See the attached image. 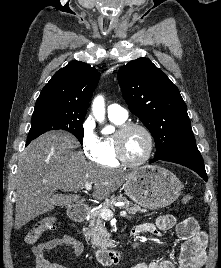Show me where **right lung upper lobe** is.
<instances>
[{
    "mask_svg": "<svg viewBox=\"0 0 221 268\" xmlns=\"http://www.w3.org/2000/svg\"><path fill=\"white\" fill-rule=\"evenodd\" d=\"M99 78L100 73L94 67L84 62L71 61L44 86L34 111L55 109L86 115Z\"/></svg>",
    "mask_w": 221,
    "mask_h": 268,
    "instance_id": "cb5924a9",
    "label": "right lung upper lobe"
}]
</instances>
